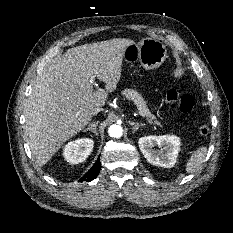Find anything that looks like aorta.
I'll return each mask as SVG.
<instances>
[{
    "instance_id": "aorta-1",
    "label": "aorta",
    "mask_w": 233,
    "mask_h": 233,
    "mask_svg": "<svg viewBox=\"0 0 233 233\" xmlns=\"http://www.w3.org/2000/svg\"><path fill=\"white\" fill-rule=\"evenodd\" d=\"M108 133L111 137L120 138L123 133V129L120 125L113 124L109 127Z\"/></svg>"
}]
</instances>
